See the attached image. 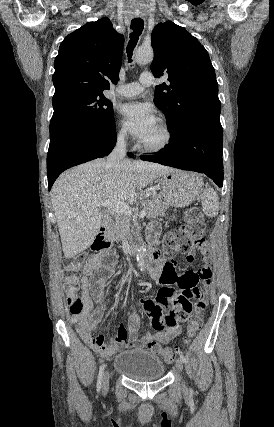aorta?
<instances>
[{
    "label": "aorta",
    "instance_id": "1",
    "mask_svg": "<svg viewBox=\"0 0 274 427\" xmlns=\"http://www.w3.org/2000/svg\"><path fill=\"white\" fill-rule=\"evenodd\" d=\"M153 57H154V53L152 48L141 47L136 51L135 61L138 64H148L152 62ZM137 237L140 239L138 232H137ZM145 257H146V247L142 242L139 248L137 249V262L141 271H143L145 268Z\"/></svg>",
    "mask_w": 274,
    "mask_h": 427
}]
</instances>
